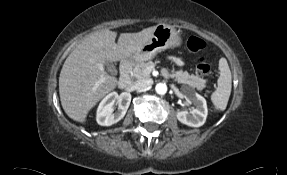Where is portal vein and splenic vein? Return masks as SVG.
Segmentation results:
<instances>
[{
    "label": "portal vein and splenic vein",
    "mask_w": 287,
    "mask_h": 175,
    "mask_svg": "<svg viewBox=\"0 0 287 175\" xmlns=\"http://www.w3.org/2000/svg\"><path fill=\"white\" fill-rule=\"evenodd\" d=\"M153 68H154V65L148 67V68L146 69V71H148V72L150 73Z\"/></svg>",
    "instance_id": "obj_1"
}]
</instances>
